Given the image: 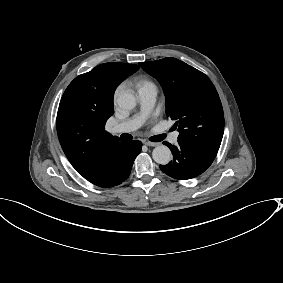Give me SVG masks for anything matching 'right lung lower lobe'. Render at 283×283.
<instances>
[{
	"mask_svg": "<svg viewBox=\"0 0 283 283\" xmlns=\"http://www.w3.org/2000/svg\"><path fill=\"white\" fill-rule=\"evenodd\" d=\"M141 147L140 141H127L112 158L104 161L94 172L84 178L102 188L121 184L129 177L133 162L141 152Z\"/></svg>",
	"mask_w": 283,
	"mask_h": 283,
	"instance_id": "1",
	"label": "right lung lower lobe"
}]
</instances>
